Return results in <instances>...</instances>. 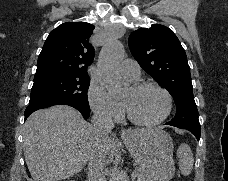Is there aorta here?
<instances>
[{
  "mask_svg": "<svg viewBox=\"0 0 228 181\" xmlns=\"http://www.w3.org/2000/svg\"><path fill=\"white\" fill-rule=\"evenodd\" d=\"M124 57L123 45L111 38L102 48L98 59V70L102 76L105 87L112 96L122 94L128 83L120 76L118 65ZM110 181H121V174L113 169L110 172Z\"/></svg>",
  "mask_w": 228,
  "mask_h": 181,
  "instance_id": "1",
  "label": "aorta"
}]
</instances>
